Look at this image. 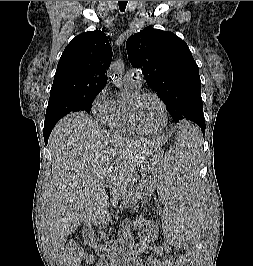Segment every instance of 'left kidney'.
Wrapping results in <instances>:
<instances>
[{"instance_id":"obj_1","label":"left kidney","mask_w":253,"mask_h":266,"mask_svg":"<svg viewBox=\"0 0 253 266\" xmlns=\"http://www.w3.org/2000/svg\"><path fill=\"white\" fill-rule=\"evenodd\" d=\"M159 234L158 227L154 222L146 223V227L143 230V238L146 242H151L157 239Z\"/></svg>"}]
</instances>
